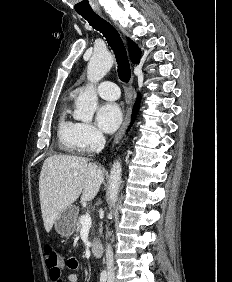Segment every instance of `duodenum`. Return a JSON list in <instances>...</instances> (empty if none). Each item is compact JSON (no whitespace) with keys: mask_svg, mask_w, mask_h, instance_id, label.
I'll return each instance as SVG.
<instances>
[{"mask_svg":"<svg viewBox=\"0 0 232 282\" xmlns=\"http://www.w3.org/2000/svg\"><path fill=\"white\" fill-rule=\"evenodd\" d=\"M91 251L95 258H100L103 255V246L101 242L94 241L91 245Z\"/></svg>","mask_w":232,"mask_h":282,"instance_id":"410a0bca","label":"duodenum"}]
</instances>
